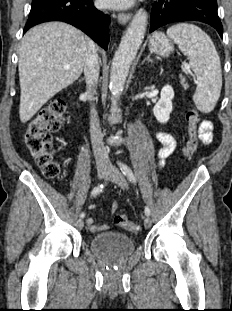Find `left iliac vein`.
<instances>
[{"mask_svg": "<svg viewBox=\"0 0 232 311\" xmlns=\"http://www.w3.org/2000/svg\"><path fill=\"white\" fill-rule=\"evenodd\" d=\"M108 179L119 185L123 189H127L128 184L127 181L124 177V175L121 173V171L116 168L115 166H110L109 167V173H108ZM152 224V221L150 217H145L144 219V226L145 228H150Z\"/></svg>", "mask_w": 232, "mask_h": 311, "instance_id": "left-iliac-vein-1", "label": "left iliac vein"}]
</instances>
